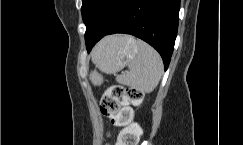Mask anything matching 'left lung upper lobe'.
I'll return each instance as SVG.
<instances>
[{
  "label": "left lung upper lobe",
  "mask_w": 243,
  "mask_h": 145,
  "mask_svg": "<svg viewBox=\"0 0 243 145\" xmlns=\"http://www.w3.org/2000/svg\"><path fill=\"white\" fill-rule=\"evenodd\" d=\"M126 0H82L81 13L85 25L99 21L110 24L122 9Z\"/></svg>",
  "instance_id": "1"
}]
</instances>
